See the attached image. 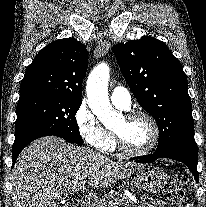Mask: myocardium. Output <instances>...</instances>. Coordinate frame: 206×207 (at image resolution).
Listing matches in <instances>:
<instances>
[{"instance_id":"obj_1","label":"myocardium","mask_w":206,"mask_h":207,"mask_svg":"<svg viewBox=\"0 0 206 207\" xmlns=\"http://www.w3.org/2000/svg\"><path fill=\"white\" fill-rule=\"evenodd\" d=\"M123 118L127 121H131L137 118L146 119L152 128V138L145 148L140 150H131L126 147L119 133L113 131L116 145L119 151L128 157H142L150 154L155 149L160 140L161 130L157 120L154 118L153 115L143 110H133L125 114Z\"/></svg>"}]
</instances>
